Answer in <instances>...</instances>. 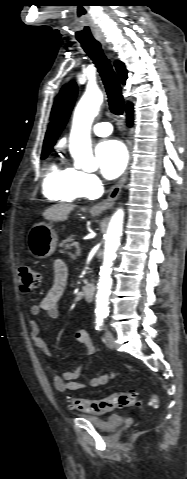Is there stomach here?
<instances>
[{"mask_svg": "<svg viewBox=\"0 0 187 479\" xmlns=\"http://www.w3.org/2000/svg\"><path fill=\"white\" fill-rule=\"evenodd\" d=\"M27 244L30 253L38 259H45L53 254L57 245V235L51 224L41 222L28 232Z\"/></svg>", "mask_w": 187, "mask_h": 479, "instance_id": "stomach-1", "label": "stomach"}]
</instances>
